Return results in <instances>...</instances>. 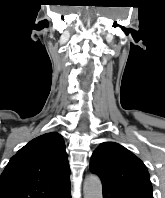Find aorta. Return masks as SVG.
<instances>
[{"instance_id": "762f6f07", "label": "aorta", "mask_w": 165, "mask_h": 198, "mask_svg": "<svg viewBox=\"0 0 165 198\" xmlns=\"http://www.w3.org/2000/svg\"><path fill=\"white\" fill-rule=\"evenodd\" d=\"M84 198H103L102 183L98 176L90 174L84 181Z\"/></svg>"}]
</instances>
